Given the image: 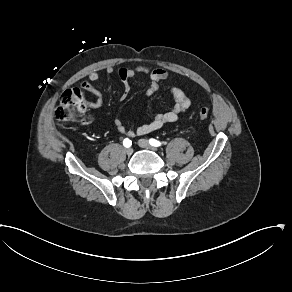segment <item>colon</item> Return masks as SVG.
Instances as JSON below:
<instances>
[{
    "mask_svg": "<svg viewBox=\"0 0 292 292\" xmlns=\"http://www.w3.org/2000/svg\"><path fill=\"white\" fill-rule=\"evenodd\" d=\"M185 91H191L196 93L198 88L185 84L183 86ZM210 115V107L203 105L199 109V118L206 119ZM55 119L58 123L66 125L79 117H88L89 110L86 106L84 92L79 88H69L64 91L61 97L60 103L56 106L54 111Z\"/></svg>",
    "mask_w": 292,
    "mask_h": 292,
    "instance_id": "5ec220e1",
    "label": "colon"
}]
</instances>
